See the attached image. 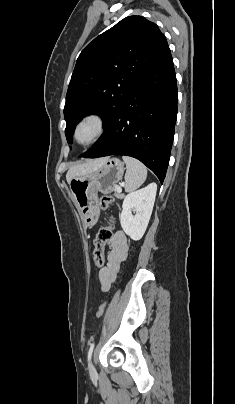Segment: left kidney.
<instances>
[{
    "label": "left kidney",
    "mask_w": 235,
    "mask_h": 404,
    "mask_svg": "<svg viewBox=\"0 0 235 404\" xmlns=\"http://www.w3.org/2000/svg\"><path fill=\"white\" fill-rule=\"evenodd\" d=\"M156 191V183H151L145 188L129 193L123 201L120 223L123 231L132 240H140L147 229ZM132 209L136 212L135 215L132 214Z\"/></svg>",
    "instance_id": "1"
}]
</instances>
